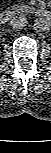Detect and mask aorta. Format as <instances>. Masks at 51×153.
<instances>
[{
	"label": "aorta",
	"instance_id": "1",
	"mask_svg": "<svg viewBox=\"0 0 51 153\" xmlns=\"http://www.w3.org/2000/svg\"><path fill=\"white\" fill-rule=\"evenodd\" d=\"M51 22L49 18L40 17L34 21V29L38 32H45L50 29Z\"/></svg>",
	"mask_w": 51,
	"mask_h": 153
}]
</instances>
